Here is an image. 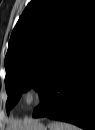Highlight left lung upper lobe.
<instances>
[{
    "instance_id": "1",
    "label": "left lung upper lobe",
    "mask_w": 95,
    "mask_h": 130,
    "mask_svg": "<svg viewBox=\"0 0 95 130\" xmlns=\"http://www.w3.org/2000/svg\"><path fill=\"white\" fill-rule=\"evenodd\" d=\"M94 13L93 0H32L27 5L5 57L7 107L31 87L42 96L55 66Z\"/></svg>"
}]
</instances>
